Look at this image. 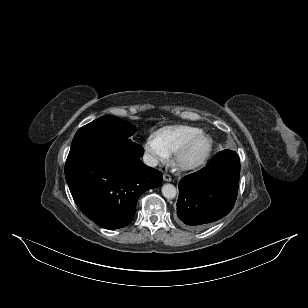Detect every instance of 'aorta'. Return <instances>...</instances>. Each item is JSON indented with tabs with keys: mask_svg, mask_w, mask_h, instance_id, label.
<instances>
[{
	"mask_svg": "<svg viewBox=\"0 0 308 308\" xmlns=\"http://www.w3.org/2000/svg\"><path fill=\"white\" fill-rule=\"evenodd\" d=\"M162 194L167 199H172L176 196V188L172 184H164L162 186Z\"/></svg>",
	"mask_w": 308,
	"mask_h": 308,
	"instance_id": "obj_1",
	"label": "aorta"
}]
</instances>
